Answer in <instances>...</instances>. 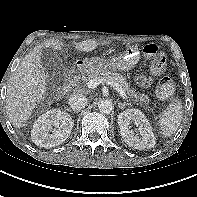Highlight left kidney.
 <instances>
[{
	"label": "left kidney",
	"instance_id": "5707ae66",
	"mask_svg": "<svg viewBox=\"0 0 197 197\" xmlns=\"http://www.w3.org/2000/svg\"><path fill=\"white\" fill-rule=\"evenodd\" d=\"M138 126L140 136L131 129L130 124ZM120 133L124 142L138 150L150 149L155 145V136L152 127L145 115L138 109H127L118 115Z\"/></svg>",
	"mask_w": 197,
	"mask_h": 197
}]
</instances>
